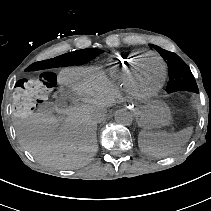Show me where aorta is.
Returning <instances> with one entry per match:
<instances>
[{"instance_id": "obj_1", "label": "aorta", "mask_w": 211, "mask_h": 211, "mask_svg": "<svg viewBox=\"0 0 211 211\" xmlns=\"http://www.w3.org/2000/svg\"><path fill=\"white\" fill-rule=\"evenodd\" d=\"M114 119L116 123L121 125H130L133 122V113L126 108L115 111Z\"/></svg>"}]
</instances>
